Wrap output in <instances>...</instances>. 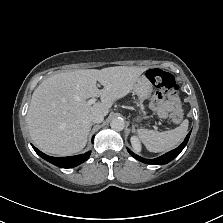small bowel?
<instances>
[{
  "label": "small bowel",
  "mask_w": 223,
  "mask_h": 223,
  "mask_svg": "<svg viewBox=\"0 0 223 223\" xmlns=\"http://www.w3.org/2000/svg\"><path fill=\"white\" fill-rule=\"evenodd\" d=\"M151 106L159 116L166 117L169 112L180 109V102L176 95L165 96L162 92H156L152 98Z\"/></svg>",
  "instance_id": "small-bowel-1"
}]
</instances>
